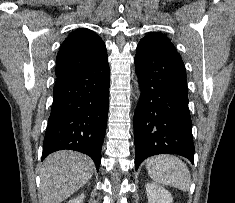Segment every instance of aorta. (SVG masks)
Instances as JSON below:
<instances>
[{
  "label": "aorta",
  "instance_id": "1",
  "mask_svg": "<svg viewBox=\"0 0 235 203\" xmlns=\"http://www.w3.org/2000/svg\"><path fill=\"white\" fill-rule=\"evenodd\" d=\"M135 84H136V94H137V97H139L140 96V90H139V84H138L137 80H136Z\"/></svg>",
  "mask_w": 235,
  "mask_h": 203
}]
</instances>
